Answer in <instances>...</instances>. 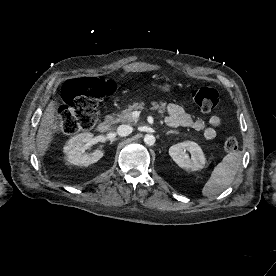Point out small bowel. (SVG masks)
Returning <instances> with one entry per match:
<instances>
[{
  "mask_svg": "<svg viewBox=\"0 0 276 276\" xmlns=\"http://www.w3.org/2000/svg\"><path fill=\"white\" fill-rule=\"evenodd\" d=\"M166 123L171 127H191L203 133L207 140L215 139L217 129L222 125V119L218 115L211 116L208 121L194 118L178 104H168L166 107Z\"/></svg>",
  "mask_w": 276,
  "mask_h": 276,
  "instance_id": "obj_1",
  "label": "small bowel"
}]
</instances>
